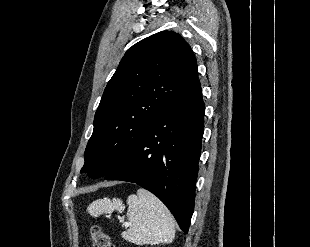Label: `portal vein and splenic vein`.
Listing matches in <instances>:
<instances>
[{
  "instance_id": "portal-vein-and-splenic-vein-1",
  "label": "portal vein and splenic vein",
  "mask_w": 310,
  "mask_h": 247,
  "mask_svg": "<svg viewBox=\"0 0 310 247\" xmlns=\"http://www.w3.org/2000/svg\"><path fill=\"white\" fill-rule=\"evenodd\" d=\"M125 225H126V226H128L129 224H128V223H126Z\"/></svg>"
}]
</instances>
